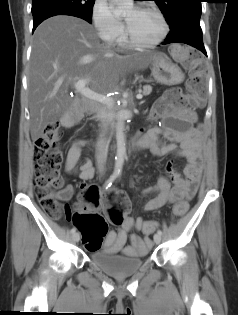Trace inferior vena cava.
Instances as JSON below:
<instances>
[{
  "label": "inferior vena cava",
  "mask_w": 238,
  "mask_h": 315,
  "mask_svg": "<svg viewBox=\"0 0 238 315\" xmlns=\"http://www.w3.org/2000/svg\"><path fill=\"white\" fill-rule=\"evenodd\" d=\"M97 116L101 120V122L104 124L105 112L102 108H100L97 111ZM106 155H107V141L105 138V131H102L96 143V161H97V167H98L99 172L104 171V162H105Z\"/></svg>",
  "instance_id": "obj_1"
}]
</instances>
